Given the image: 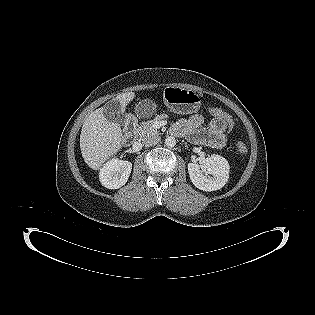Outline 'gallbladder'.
I'll return each instance as SVG.
<instances>
[{
    "instance_id": "obj_1",
    "label": "gallbladder",
    "mask_w": 315,
    "mask_h": 315,
    "mask_svg": "<svg viewBox=\"0 0 315 315\" xmlns=\"http://www.w3.org/2000/svg\"><path fill=\"white\" fill-rule=\"evenodd\" d=\"M103 114L109 121L120 123L122 121L120 102L117 99L109 101L104 108Z\"/></svg>"
}]
</instances>
